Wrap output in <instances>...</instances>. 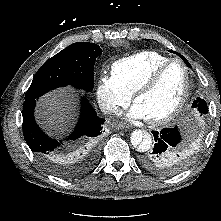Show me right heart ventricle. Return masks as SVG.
Here are the masks:
<instances>
[{
  "label": "right heart ventricle",
  "instance_id": "e07e8e85",
  "mask_svg": "<svg viewBox=\"0 0 221 221\" xmlns=\"http://www.w3.org/2000/svg\"><path fill=\"white\" fill-rule=\"evenodd\" d=\"M170 57L154 50H145L115 61L111 66L112 75L130 94Z\"/></svg>",
  "mask_w": 221,
  "mask_h": 221
}]
</instances>
